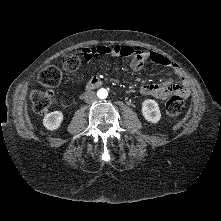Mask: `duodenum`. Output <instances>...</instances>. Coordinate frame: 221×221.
I'll return each mask as SVG.
<instances>
[{
  "instance_id": "1",
  "label": "duodenum",
  "mask_w": 221,
  "mask_h": 221,
  "mask_svg": "<svg viewBox=\"0 0 221 221\" xmlns=\"http://www.w3.org/2000/svg\"><path fill=\"white\" fill-rule=\"evenodd\" d=\"M102 85H103V81L99 77L94 76L88 81L86 88L93 89V88L100 87Z\"/></svg>"
}]
</instances>
